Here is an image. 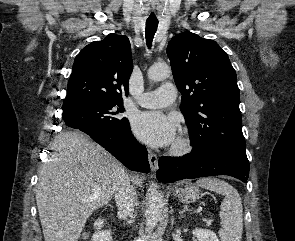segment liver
I'll return each instance as SVG.
<instances>
[{"label": "liver", "mask_w": 295, "mask_h": 241, "mask_svg": "<svg viewBox=\"0 0 295 241\" xmlns=\"http://www.w3.org/2000/svg\"><path fill=\"white\" fill-rule=\"evenodd\" d=\"M39 171L36 202L45 241H78L87 219L109 203L121 164L80 132L55 137ZM142 184L138 176L133 177ZM98 186L100 189H96Z\"/></svg>", "instance_id": "obj_1"}]
</instances>
